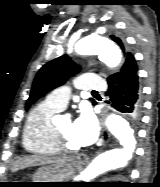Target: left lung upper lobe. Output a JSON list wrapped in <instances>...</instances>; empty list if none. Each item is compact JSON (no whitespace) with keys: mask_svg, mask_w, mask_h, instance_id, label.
Instances as JSON below:
<instances>
[{"mask_svg":"<svg viewBox=\"0 0 160 187\" xmlns=\"http://www.w3.org/2000/svg\"><path fill=\"white\" fill-rule=\"evenodd\" d=\"M110 37L124 50L122 40L119 37L114 35ZM130 55H132L130 52H124V63ZM79 70L80 67L71 61L67 55L60 56L45 64L35 77L26 109L48 91L63 85L70 76L76 74ZM113 75L109 76L107 80Z\"/></svg>","mask_w":160,"mask_h":187,"instance_id":"1","label":"left lung upper lobe"}]
</instances>
